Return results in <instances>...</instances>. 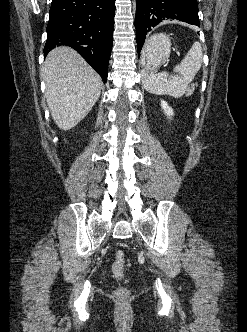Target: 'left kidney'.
I'll return each instance as SVG.
<instances>
[{
    "instance_id": "obj_1",
    "label": "left kidney",
    "mask_w": 247,
    "mask_h": 332,
    "mask_svg": "<svg viewBox=\"0 0 247 332\" xmlns=\"http://www.w3.org/2000/svg\"><path fill=\"white\" fill-rule=\"evenodd\" d=\"M161 107L164 110L165 114L169 117L173 116V109L171 107H169V105L167 104V102L165 101H161Z\"/></svg>"
}]
</instances>
